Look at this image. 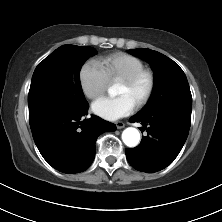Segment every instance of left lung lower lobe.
I'll use <instances>...</instances> for the list:
<instances>
[{
    "label": "left lung lower lobe",
    "mask_w": 222,
    "mask_h": 222,
    "mask_svg": "<svg viewBox=\"0 0 222 222\" xmlns=\"http://www.w3.org/2000/svg\"><path fill=\"white\" fill-rule=\"evenodd\" d=\"M131 122H141L148 131L139 146L126 149L130 165L142 172H157L171 164L181 151L191 125V110L166 105L138 113Z\"/></svg>",
    "instance_id": "left-lung-lower-lobe-1"
}]
</instances>
